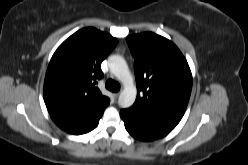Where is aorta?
I'll use <instances>...</instances> for the list:
<instances>
[{"label":"aorta","mask_w":248,"mask_h":165,"mask_svg":"<svg viewBox=\"0 0 248 165\" xmlns=\"http://www.w3.org/2000/svg\"><path fill=\"white\" fill-rule=\"evenodd\" d=\"M108 65L111 73L124 85L118 99L119 106L131 107L135 102L137 90L125 59L119 55H112L109 57Z\"/></svg>","instance_id":"1"}]
</instances>
